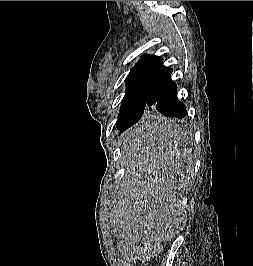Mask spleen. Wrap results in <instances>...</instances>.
I'll return each instance as SVG.
<instances>
[{
  "label": "spleen",
  "mask_w": 253,
  "mask_h": 266,
  "mask_svg": "<svg viewBox=\"0 0 253 266\" xmlns=\"http://www.w3.org/2000/svg\"><path fill=\"white\" fill-rule=\"evenodd\" d=\"M173 115H151V120H173ZM173 132V133H172ZM177 132H185V123H143L136 135H118L116 155L122 156V169L128 190H114L118 207H111L114 229H121L120 242L136 248H163L171 235H182L183 204L186 199L190 168L187 150L190 141H182Z\"/></svg>",
  "instance_id": "1"
}]
</instances>
